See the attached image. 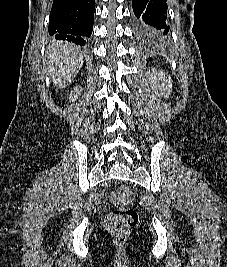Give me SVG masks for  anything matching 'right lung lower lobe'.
<instances>
[{"label": "right lung lower lobe", "instance_id": "98d812e1", "mask_svg": "<svg viewBox=\"0 0 227 267\" xmlns=\"http://www.w3.org/2000/svg\"><path fill=\"white\" fill-rule=\"evenodd\" d=\"M95 0H54L48 31L58 40L85 45L93 30Z\"/></svg>", "mask_w": 227, "mask_h": 267}]
</instances>
